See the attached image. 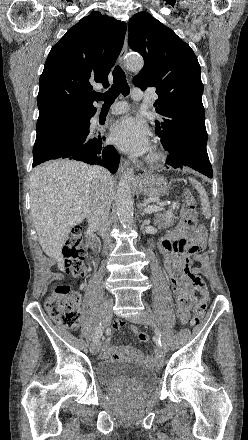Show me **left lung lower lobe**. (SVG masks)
I'll list each match as a JSON object with an SVG mask.
<instances>
[{
    "instance_id": "obj_1",
    "label": "left lung lower lobe",
    "mask_w": 248,
    "mask_h": 440,
    "mask_svg": "<svg viewBox=\"0 0 248 440\" xmlns=\"http://www.w3.org/2000/svg\"><path fill=\"white\" fill-rule=\"evenodd\" d=\"M164 148L170 153L166 159L167 165L181 169L190 167L209 178L213 177L206 146L177 141Z\"/></svg>"
}]
</instances>
